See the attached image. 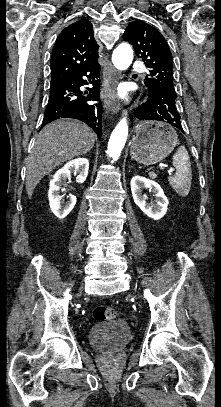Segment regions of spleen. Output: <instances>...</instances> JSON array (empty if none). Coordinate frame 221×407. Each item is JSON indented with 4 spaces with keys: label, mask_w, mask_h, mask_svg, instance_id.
<instances>
[{
    "label": "spleen",
    "mask_w": 221,
    "mask_h": 407,
    "mask_svg": "<svg viewBox=\"0 0 221 407\" xmlns=\"http://www.w3.org/2000/svg\"><path fill=\"white\" fill-rule=\"evenodd\" d=\"M172 163L176 173L173 177H168V181L177 194L185 197L190 192L192 171L189 154L184 146H180L177 149Z\"/></svg>",
    "instance_id": "obj_1"
}]
</instances>
